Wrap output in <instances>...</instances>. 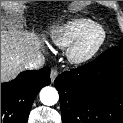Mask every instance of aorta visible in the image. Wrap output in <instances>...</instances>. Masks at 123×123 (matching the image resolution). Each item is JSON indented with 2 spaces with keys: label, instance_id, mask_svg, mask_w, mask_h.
Here are the masks:
<instances>
[{
  "label": "aorta",
  "instance_id": "762f6f07",
  "mask_svg": "<svg viewBox=\"0 0 123 123\" xmlns=\"http://www.w3.org/2000/svg\"><path fill=\"white\" fill-rule=\"evenodd\" d=\"M59 95L55 88L47 86L40 91V101L47 106H52L58 102Z\"/></svg>",
  "mask_w": 123,
  "mask_h": 123
}]
</instances>
